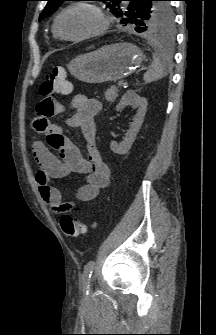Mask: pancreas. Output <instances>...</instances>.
I'll return each instance as SVG.
<instances>
[{
	"instance_id": "obj_1",
	"label": "pancreas",
	"mask_w": 216,
	"mask_h": 335,
	"mask_svg": "<svg viewBox=\"0 0 216 335\" xmlns=\"http://www.w3.org/2000/svg\"><path fill=\"white\" fill-rule=\"evenodd\" d=\"M118 96V87L112 85L106 92H105V99L107 102H114Z\"/></svg>"
}]
</instances>
